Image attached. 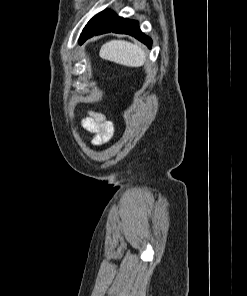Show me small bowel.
Instances as JSON below:
<instances>
[{"mask_svg":"<svg viewBox=\"0 0 247 296\" xmlns=\"http://www.w3.org/2000/svg\"><path fill=\"white\" fill-rule=\"evenodd\" d=\"M82 126L94 135L92 140L94 145L107 142L114 131L112 122L103 114L94 111H88V115L82 119Z\"/></svg>","mask_w":247,"mask_h":296,"instance_id":"obj_1","label":"small bowel"}]
</instances>
